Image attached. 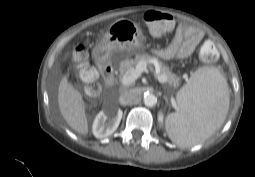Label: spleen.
Returning a JSON list of instances; mask_svg holds the SVG:
<instances>
[{
	"label": "spleen",
	"mask_w": 255,
	"mask_h": 177,
	"mask_svg": "<svg viewBox=\"0 0 255 177\" xmlns=\"http://www.w3.org/2000/svg\"><path fill=\"white\" fill-rule=\"evenodd\" d=\"M180 111L166 118L169 138L190 147L210 137L223 124L229 109L226 79L215 67L198 68L177 93Z\"/></svg>",
	"instance_id": "3e777b00"
}]
</instances>
